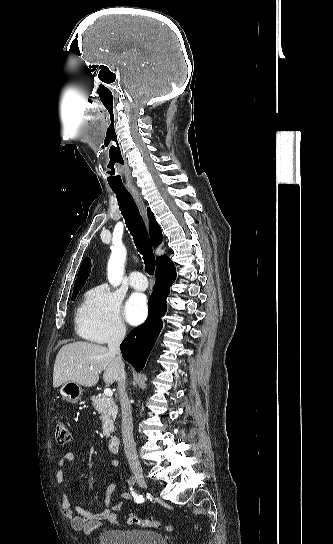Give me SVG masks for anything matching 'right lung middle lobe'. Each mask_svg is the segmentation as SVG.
Listing matches in <instances>:
<instances>
[{
    "label": "right lung middle lobe",
    "instance_id": "1",
    "mask_svg": "<svg viewBox=\"0 0 333 544\" xmlns=\"http://www.w3.org/2000/svg\"><path fill=\"white\" fill-rule=\"evenodd\" d=\"M78 292H79V291H75V292H73V294H72V300H75V298H76V296H77Z\"/></svg>",
    "mask_w": 333,
    "mask_h": 544
}]
</instances>
